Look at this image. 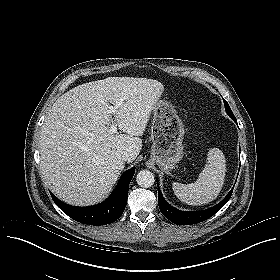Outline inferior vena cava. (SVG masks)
Instances as JSON below:
<instances>
[{"mask_svg":"<svg viewBox=\"0 0 280 280\" xmlns=\"http://www.w3.org/2000/svg\"><path fill=\"white\" fill-rule=\"evenodd\" d=\"M131 159V155L128 152H124L122 154V160L123 161H129Z\"/></svg>","mask_w":280,"mask_h":280,"instance_id":"obj_1","label":"inferior vena cava"}]
</instances>
